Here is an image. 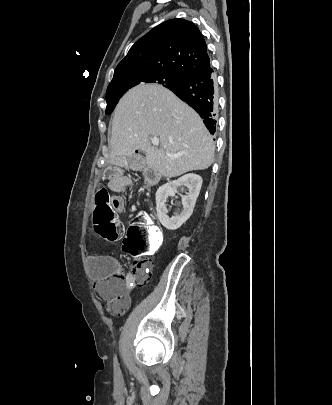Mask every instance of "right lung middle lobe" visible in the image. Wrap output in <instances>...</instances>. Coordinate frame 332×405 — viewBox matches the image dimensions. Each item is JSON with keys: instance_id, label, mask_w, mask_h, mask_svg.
<instances>
[{"instance_id": "right-lung-middle-lobe-1", "label": "right lung middle lobe", "mask_w": 332, "mask_h": 405, "mask_svg": "<svg viewBox=\"0 0 332 405\" xmlns=\"http://www.w3.org/2000/svg\"><path fill=\"white\" fill-rule=\"evenodd\" d=\"M184 77L177 74L158 72H131L112 79L106 92V114L113 112L119 99L132 87L143 83L161 84L169 87L180 82Z\"/></svg>"}]
</instances>
